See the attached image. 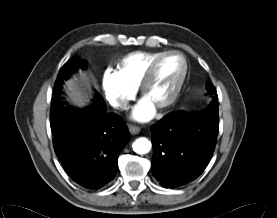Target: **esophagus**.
<instances>
[{
    "label": "esophagus",
    "instance_id": "1",
    "mask_svg": "<svg viewBox=\"0 0 277 218\" xmlns=\"http://www.w3.org/2000/svg\"><path fill=\"white\" fill-rule=\"evenodd\" d=\"M129 132L133 135H136L140 132V127L135 126V125H128Z\"/></svg>",
    "mask_w": 277,
    "mask_h": 218
}]
</instances>
